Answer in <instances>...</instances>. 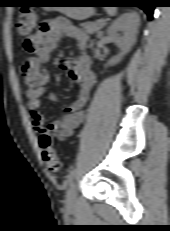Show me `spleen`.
I'll use <instances>...</instances> for the list:
<instances>
[{
	"label": "spleen",
	"mask_w": 170,
	"mask_h": 231,
	"mask_svg": "<svg viewBox=\"0 0 170 231\" xmlns=\"http://www.w3.org/2000/svg\"><path fill=\"white\" fill-rule=\"evenodd\" d=\"M106 12L108 13V15L113 16L116 13V8H114V7H106Z\"/></svg>",
	"instance_id": "1"
}]
</instances>
